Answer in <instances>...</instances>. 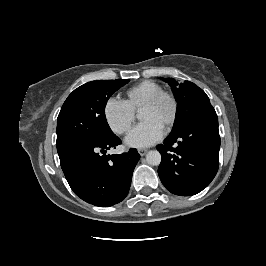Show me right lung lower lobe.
<instances>
[{"label": "right lung lower lobe", "instance_id": "98d812e1", "mask_svg": "<svg viewBox=\"0 0 266 266\" xmlns=\"http://www.w3.org/2000/svg\"><path fill=\"white\" fill-rule=\"evenodd\" d=\"M119 144L121 140L113 133L91 144L76 146L59 157L68 184L82 200L108 207L127 196L140 155L134 148L120 155H106L107 150Z\"/></svg>", "mask_w": 266, "mask_h": 266}]
</instances>
